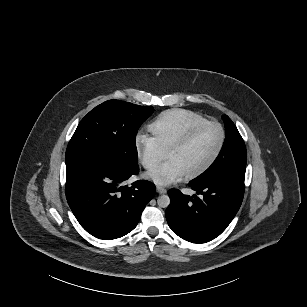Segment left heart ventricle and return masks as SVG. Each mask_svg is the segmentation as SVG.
I'll return each mask as SVG.
<instances>
[{
	"label": "left heart ventricle",
	"mask_w": 307,
	"mask_h": 307,
	"mask_svg": "<svg viewBox=\"0 0 307 307\" xmlns=\"http://www.w3.org/2000/svg\"><path fill=\"white\" fill-rule=\"evenodd\" d=\"M221 140L220 127H208L201 131L186 147L169 154L167 161L176 164L186 176L199 170L212 158L220 146Z\"/></svg>",
	"instance_id": "1"
}]
</instances>
